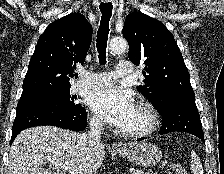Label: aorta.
I'll use <instances>...</instances> for the list:
<instances>
[{
    "instance_id": "762f6f07",
    "label": "aorta",
    "mask_w": 224,
    "mask_h": 174,
    "mask_svg": "<svg viewBox=\"0 0 224 174\" xmlns=\"http://www.w3.org/2000/svg\"><path fill=\"white\" fill-rule=\"evenodd\" d=\"M127 49V42L122 37L113 38L109 43V50L113 54L123 53Z\"/></svg>"
}]
</instances>
